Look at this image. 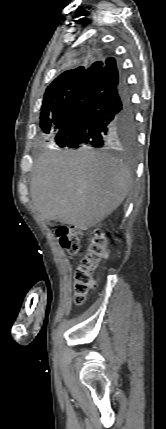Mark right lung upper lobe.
Segmentation results:
<instances>
[{
	"instance_id": "1",
	"label": "right lung upper lobe",
	"mask_w": 166,
	"mask_h": 429,
	"mask_svg": "<svg viewBox=\"0 0 166 429\" xmlns=\"http://www.w3.org/2000/svg\"><path fill=\"white\" fill-rule=\"evenodd\" d=\"M96 55H97L96 50L88 49V50H83L81 52L80 58H81L82 62L90 63V62L95 60ZM87 68H88V65H86L85 67L79 66L75 69H71V70H67V71L63 72L48 86V88L55 85L56 83L64 80V79H66V78L71 77V76L84 75Z\"/></svg>"
}]
</instances>
